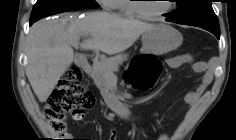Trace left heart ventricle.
Segmentation results:
<instances>
[{"instance_id":"left-heart-ventricle-1","label":"left heart ventricle","mask_w":236,"mask_h":140,"mask_svg":"<svg viewBox=\"0 0 236 140\" xmlns=\"http://www.w3.org/2000/svg\"><path fill=\"white\" fill-rule=\"evenodd\" d=\"M142 5L143 9L150 13H157L165 10L169 2L163 0H145Z\"/></svg>"}]
</instances>
